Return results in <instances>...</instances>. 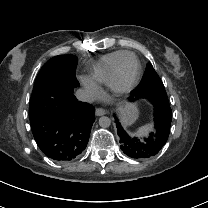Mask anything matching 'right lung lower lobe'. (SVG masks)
Masks as SVG:
<instances>
[{"label":"right lung lower lobe","instance_id":"right-lung-lower-lobe-1","mask_svg":"<svg viewBox=\"0 0 208 208\" xmlns=\"http://www.w3.org/2000/svg\"><path fill=\"white\" fill-rule=\"evenodd\" d=\"M38 113L30 119L34 139L41 151L55 161H70L86 148L95 108L80 102L73 93L42 91Z\"/></svg>","mask_w":208,"mask_h":208}]
</instances>
